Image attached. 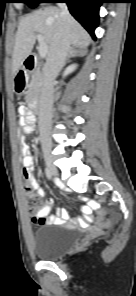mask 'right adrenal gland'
<instances>
[{
	"mask_svg": "<svg viewBox=\"0 0 136 296\" xmlns=\"http://www.w3.org/2000/svg\"><path fill=\"white\" fill-rule=\"evenodd\" d=\"M86 53H87V51H86L85 49H82V48L77 49V47H72V48L70 49L69 53H68V56H67V59H66L65 64H66L67 62H69V59H70L71 57H81V56L86 55Z\"/></svg>",
	"mask_w": 136,
	"mask_h": 296,
	"instance_id": "right-adrenal-gland-1",
	"label": "right adrenal gland"
}]
</instances>
